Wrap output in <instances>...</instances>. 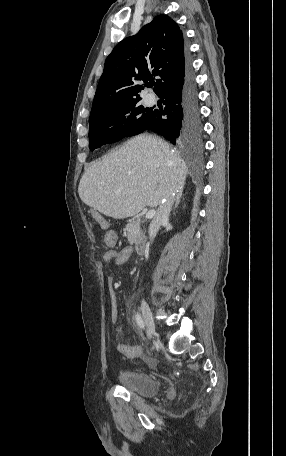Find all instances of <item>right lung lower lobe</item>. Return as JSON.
Wrapping results in <instances>:
<instances>
[{"label":"right lung lower lobe","instance_id":"1","mask_svg":"<svg viewBox=\"0 0 286 456\" xmlns=\"http://www.w3.org/2000/svg\"><path fill=\"white\" fill-rule=\"evenodd\" d=\"M158 95L164 99L165 108L163 111L154 110L148 130L159 133L173 144L196 135L195 131H188V126L199 124L201 133L197 91L190 66L181 79L168 85Z\"/></svg>","mask_w":286,"mask_h":456}]
</instances>
